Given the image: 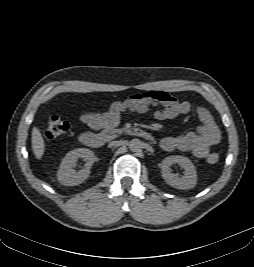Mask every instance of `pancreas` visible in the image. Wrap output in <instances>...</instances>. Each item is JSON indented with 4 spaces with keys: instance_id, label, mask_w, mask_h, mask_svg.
Wrapping results in <instances>:
<instances>
[{
    "instance_id": "obj_1",
    "label": "pancreas",
    "mask_w": 254,
    "mask_h": 267,
    "mask_svg": "<svg viewBox=\"0 0 254 267\" xmlns=\"http://www.w3.org/2000/svg\"><path fill=\"white\" fill-rule=\"evenodd\" d=\"M112 132H114V133L121 132V130H119V129H113Z\"/></svg>"
}]
</instances>
